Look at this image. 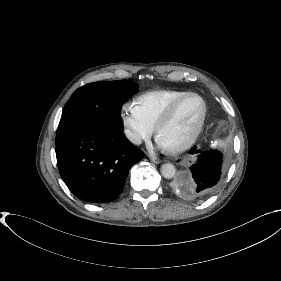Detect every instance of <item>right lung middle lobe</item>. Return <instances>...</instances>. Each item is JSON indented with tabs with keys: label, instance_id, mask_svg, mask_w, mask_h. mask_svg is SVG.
<instances>
[{
	"label": "right lung middle lobe",
	"instance_id": "1",
	"mask_svg": "<svg viewBox=\"0 0 281 281\" xmlns=\"http://www.w3.org/2000/svg\"><path fill=\"white\" fill-rule=\"evenodd\" d=\"M138 87L127 80L94 82L80 87L63 109L57 135L89 128H122L121 107Z\"/></svg>",
	"mask_w": 281,
	"mask_h": 281
}]
</instances>
